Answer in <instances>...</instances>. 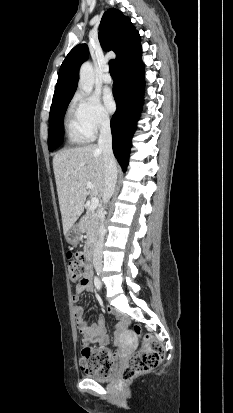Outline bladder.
<instances>
[{"instance_id":"obj_1","label":"bladder","mask_w":233,"mask_h":413,"mask_svg":"<svg viewBox=\"0 0 233 413\" xmlns=\"http://www.w3.org/2000/svg\"><path fill=\"white\" fill-rule=\"evenodd\" d=\"M112 373H108L106 375H100V374H96V373H89L86 375L87 378H90L92 380L98 381V382H108L111 380L112 378Z\"/></svg>"}]
</instances>
